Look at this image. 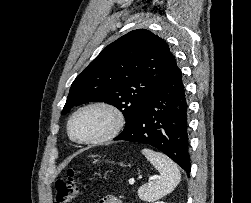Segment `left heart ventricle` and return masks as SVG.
I'll return each mask as SVG.
<instances>
[{"label": "left heart ventricle", "mask_w": 251, "mask_h": 203, "mask_svg": "<svg viewBox=\"0 0 251 203\" xmlns=\"http://www.w3.org/2000/svg\"><path fill=\"white\" fill-rule=\"evenodd\" d=\"M110 116L99 109H91L78 114L72 124L74 135L82 140L94 138L107 130Z\"/></svg>", "instance_id": "1"}]
</instances>
